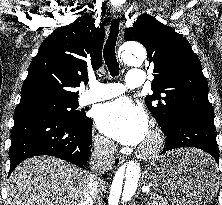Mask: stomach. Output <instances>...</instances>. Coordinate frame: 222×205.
I'll use <instances>...</instances> for the list:
<instances>
[{"instance_id": "1", "label": "stomach", "mask_w": 222, "mask_h": 205, "mask_svg": "<svg viewBox=\"0 0 222 205\" xmlns=\"http://www.w3.org/2000/svg\"><path fill=\"white\" fill-rule=\"evenodd\" d=\"M146 184L163 193L172 205H205L218 187L211 158L196 149H180L147 167Z\"/></svg>"}]
</instances>
